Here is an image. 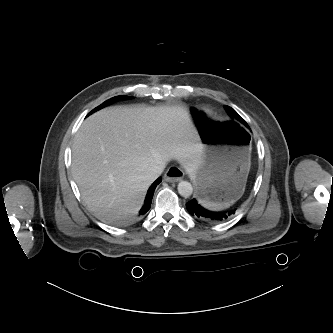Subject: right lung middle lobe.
<instances>
[{
	"mask_svg": "<svg viewBox=\"0 0 333 333\" xmlns=\"http://www.w3.org/2000/svg\"><path fill=\"white\" fill-rule=\"evenodd\" d=\"M130 97L128 96H116V97H113L107 101H105L103 104H101L100 106L96 107L94 110H92L88 115H90L91 113L103 108L104 106L114 102V101H117V100H120V99H129Z\"/></svg>",
	"mask_w": 333,
	"mask_h": 333,
	"instance_id": "dd1d6c3e",
	"label": "right lung middle lobe"
}]
</instances>
